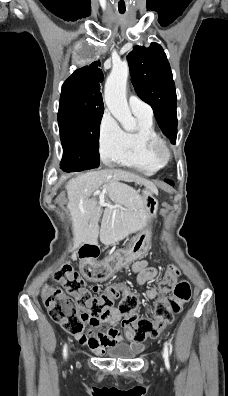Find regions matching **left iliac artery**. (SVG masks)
<instances>
[{"label":"left iliac artery","mask_w":228,"mask_h":396,"mask_svg":"<svg viewBox=\"0 0 228 396\" xmlns=\"http://www.w3.org/2000/svg\"><path fill=\"white\" fill-rule=\"evenodd\" d=\"M168 342H165L164 344V357L167 358L168 357Z\"/></svg>","instance_id":"44dca946"}]
</instances>
